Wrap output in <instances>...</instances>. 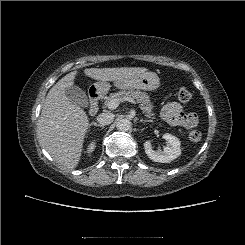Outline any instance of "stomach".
Instances as JSON below:
<instances>
[{
    "instance_id": "0dacf381",
    "label": "stomach",
    "mask_w": 245,
    "mask_h": 245,
    "mask_svg": "<svg viewBox=\"0 0 245 245\" xmlns=\"http://www.w3.org/2000/svg\"><path fill=\"white\" fill-rule=\"evenodd\" d=\"M114 85L119 89L155 91L160 87V80L156 73L146 72L124 80L114 81ZM94 87L100 93H105L109 90L110 84L108 81H98L94 83Z\"/></svg>"
}]
</instances>
